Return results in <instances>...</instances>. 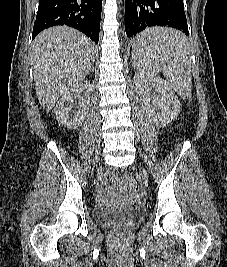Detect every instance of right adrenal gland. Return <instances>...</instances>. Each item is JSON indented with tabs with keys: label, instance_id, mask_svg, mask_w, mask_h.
<instances>
[{
	"label": "right adrenal gland",
	"instance_id": "obj_1",
	"mask_svg": "<svg viewBox=\"0 0 227 267\" xmlns=\"http://www.w3.org/2000/svg\"><path fill=\"white\" fill-rule=\"evenodd\" d=\"M91 71L94 72V65L92 66Z\"/></svg>",
	"mask_w": 227,
	"mask_h": 267
}]
</instances>
